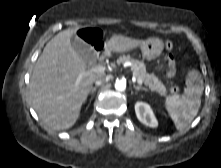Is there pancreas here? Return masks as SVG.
<instances>
[{
	"mask_svg": "<svg viewBox=\"0 0 221 168\" xmlns=\"http://www.w3.org/2000/svg\"><path fill=\"white\" fill-rule=\"evenodd\" d=\"M126 62H131V70L133 75L137 79H141L144 84L154 92H157L161 96H167V89L165 85L156 77L155 74H148L146 71V66L142 61L136 60L129 55L120 56L117 63L124 64Z\"/></svg>",
	"mask_w": 221,
	"mask_h": 168,
	"instance_id": "pancreas-1",
	"label": "pancreas"
}]
</instances>
